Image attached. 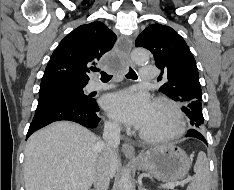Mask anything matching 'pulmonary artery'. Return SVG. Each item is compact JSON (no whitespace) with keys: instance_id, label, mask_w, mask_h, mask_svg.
Listing matches in <instances>:
<instances>
[{"instance_id":"e3ab8cb5","label":"pulmonary artery","mask_w":234,"mask_h":190,"mask_svg":"<svg viewBox=\"0 0 234 190\" xmlns=\"http://www.w3.org/2000/svg\"><path fill=\"white\" fill-rule=\"evenodd\" d=\"M155 71L156 68L155 66H144L140 69V79L142 81H149L150 79L155 77ZM110 85H106V84H101V83H93L91 85V89L92 90H102V89H107L109 88Z\"/></svg>"}]
</instances>
